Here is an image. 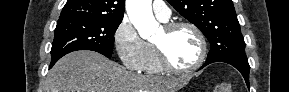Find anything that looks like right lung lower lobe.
<instances>
[{
  "mask_svg": "<svg viewBox=\"0 0 289 92\" xmlns=\"http://www.w3.org/2000/svg\"><path fill=\"white\" fill-rule=\"evenodd\" d=\"M55 63H56V61H51L49 68H52V66H53Z\"/></svg>",
  "mask_w": 289,
  "mask_h": 92,
  "instance_id": "right-lung-lower-lobe-1",
  "label": "right lung lower lobe"
}]
</instances>
